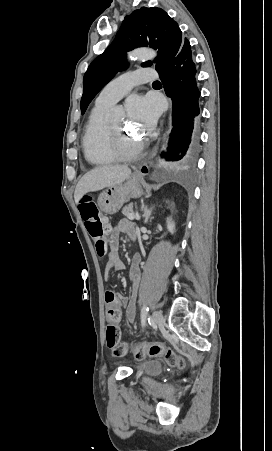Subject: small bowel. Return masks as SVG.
I'll list each match as a JSON object with an SVG mask.
<instances>
[{
  "label": "small bowel",
  "instance_id": "small-bowel-1",
  "mask_svg": "<svg viewBox=\"0 0 272 451\" xmlns=\"http://www.w3.org/2000/svg\"><path fill=\"white\" fill-rule=\"evenodd\" d=\"M108 225V224H107ZM135 226L133 222L127 219L120 220L115 226L109 227L107 233L110 235V250L107 254V262L104 268V276L109 278L111 271L123 270L124 263L119 255V244L121 234L133 236ZM129 277L132 282L131 296L128 298L122 294L115 292L106 293L107 319L114 323H119L122 319V311H125L126 319L130 324H134L136 320V297L138 293L139 280L141 277V256L134 255L129 269Z\"/></svg>",
  "mask_w": 272,
  "mask_h": 451
}]
</instances>
